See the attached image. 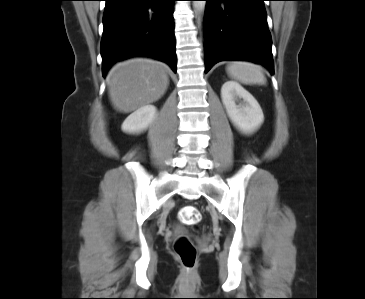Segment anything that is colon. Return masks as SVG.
<instances>
[{
    "label": "colon",
    "mask_w": 365,
    "mask_h": 299,
    "mask_svg": "<svg viewBox=\"0 0 365 299\" xmlns=\"http://www.w3.org/2000/svg\"><path fill=\"white\" fill-rule=\"evenodd\" d=\"M179 220L188 226H197L201 221V214L197 207L187 205L179 211ZM174 251L186 268H192L196 262L197 252L194 243L187 236H181L174 245Z\"/></svg>",
    "instance_id": "1"
}]
</instances>
